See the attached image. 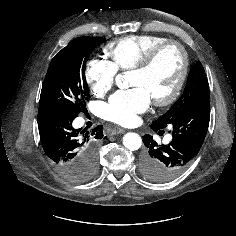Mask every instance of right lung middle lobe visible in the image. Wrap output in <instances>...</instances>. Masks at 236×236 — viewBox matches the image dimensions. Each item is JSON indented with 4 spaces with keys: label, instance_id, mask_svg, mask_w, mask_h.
<instances>
[{
    "label": "right lung middle lobe",
    "instance_id": "1",
    "mask_svg": "<svg viewBox=\"0 0 236 236\" xmlns=\"http://www.w3.org/2000/svg\"><path fill=\"white\" fill-rule=\"evenodd\" d=\"M105 39L79 37L72 40L52 59L42 85L39 113L53 112L77 117L90 99L85 79V64L93 49ZM97 171V159L82 170L79 182L91 179Z\"/></svg>",
    "mask_w": 236,
    "mask_h": 236
}]
</instances>
